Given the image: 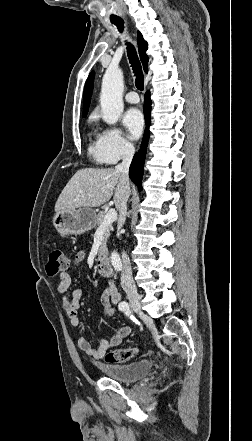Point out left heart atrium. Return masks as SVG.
<instances>
[{
	"instance_id": "left-heart-atrium-1",
	"label": "left heart atrium",
	"mask_w": 252,
	"mask_h": 441,
	"mask_svg": "<svg viewBox=\"0 0 252 441\" xmlns=\"http://www.w3.org/2000/svg\"><path fill=\"white\" fill-rule=\"evenodd\" d=\"M123 124L131 139H137L144 128V119L138 109H130L123 117Z\"/></svg>"
}]
</instances>
